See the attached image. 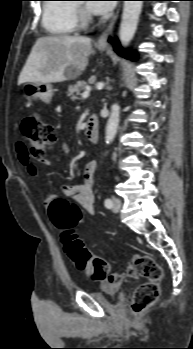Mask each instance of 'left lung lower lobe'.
<instances>
[{
	"mask_svg": "<svg viewBox=\"0 0 193 349\" xmlns=\"http://www.w3.org/2000/svg\"><path fill=\"white\" fill-rule=\"evenodd\" d=\"M114 50L121 56L123 57H126V58H132V59H135L136 56L134 53H131V52H125L121 49L120 47V44L118 41L115 42V45H114Z\"/></svg>",
	"mask_w": 193,
	"mask_h": 349,
	"instance_id": "left-lung-lower-lobe-1",
	"label": "left lung lower lobe"
}]
</instances>
